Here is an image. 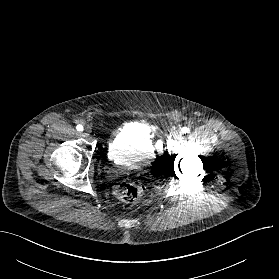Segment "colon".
I'll list each match as a JSON object with an SVG mask.
<instances>
[{
  "mask_svg": "<svg viewBox=\"0 0 279 279\" xmlns=\"http://www.w3.org/2000/svg\"><path fill=\"white\" fill-rule=\"evenodd\" d=\"M145 191L146 187L140 180L129 179L115 188V196L122 202L132 203L140 200Z\"/></svg>",
  "mask_w": 279,
  "mask_h": 279,
  "instance_id": "colon-1",
  "label": "colon"
}]
</instances>
